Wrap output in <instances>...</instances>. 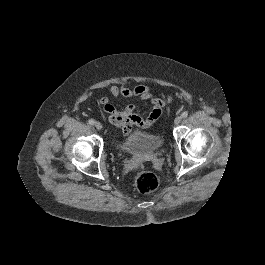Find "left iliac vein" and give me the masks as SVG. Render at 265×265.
Returning a JSON list of instances; mask_svg holds the SVG:
<instances>
[{"instance_id":"1","label":"left iliac vein","mask_w":265,"mask_h":265,"mask_svg":"<svg viewBox=\"0 0 265 265\" xmlns=\"http://www.w3.org/2000/svg\"><path fill=\"white\" fill-rule=\"evenodd\" d=\"M181 122V117L180 116H177L174 120V124L175 125H178L179 123Z\"/></svg>"}]
</instances>
